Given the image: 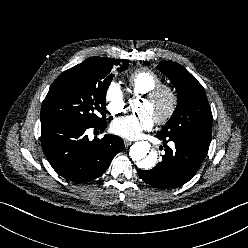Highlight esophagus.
<instances>
[{
    "label": "esophagus",
    "mask_w": 248,
    "mask_h": 248,
    "mask_svg": "<svg viewBox=\"0 0 248 248\" xmlns=\"http://www.w3.org/2000/svg\"><path fill=\"white\" fill-rule=\"evenodd\" d=\"M124 144H125L126 147H128V146H130L132 144V142L129 141V140H124Z\"/></svg>",
    "instance_id": "1"
}]
</instances>
